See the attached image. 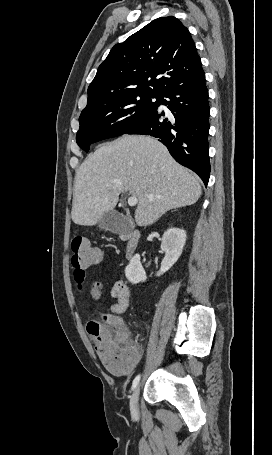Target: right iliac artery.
Instances as JSON below:
<instances>
[{
	"instance_id": "1",
	"label": "right iliac artery",
	"mask_w": 272,
	"mask_h": 455,
	"mask_svg": "<svg viewBox=\"0 0 272 455\" xmlns=\"http://www.w3.org/2000/svg\"><path fill=\"white\" fill-rule=\"evenodd\" d=\"M139 380H140V374L137 375V376L135 377V379L133 380V383H132V390H134V389L136 388V386H137Z\"/></svg>"
}]
</instances>
